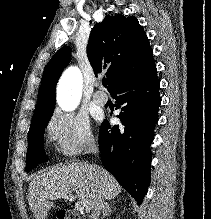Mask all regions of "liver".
<instances>
[{
  "mask_svg": "<svg viewBox=\"0 0 211 219\" xmlns=\"http://www.w3.org/2000/svg\"><path fill=\"white\" fill-rule=\"evenodd\" d=\"M122 187L104 168L76 162L54 166L36 176L29 184L28 203L35 219H45L54 206L48 201L51 194L75 192L86 213L92 210L93 202L101 196L111 200L121 193Z\"/></svg>",
  "mask_w": 211,
  "mask_h": 219,
  "instance_id": "6515ba94",
  "label": "liver"
}]
</instances>
